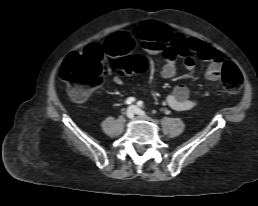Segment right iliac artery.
<instances>
[{
    "label": "right iliac artery",
    "instance_id": "1",
    "mask_svg": "<svg viewBox=\"0 0 258 206\" xmlns=\"http://www.w3.org/2000/svg\"><path fill=\"white\" fill-rule=\"evenodd\" d=\"M134 101H135L134 97H129V98L126 99L125 104L128 105V104H131Z\"/></svg>",
    "mask_w": 258,
    "mask_h": 206
}]
</instances>
